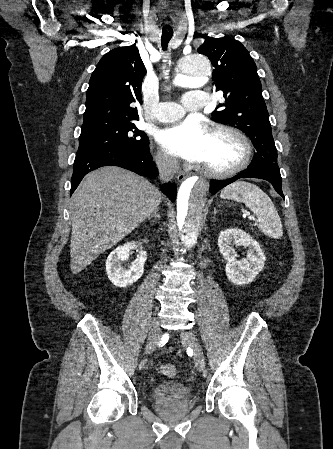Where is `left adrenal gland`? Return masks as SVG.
I'll return each instance as SVG.
<instances>
[{
  "label": "left adrenal gland",
  "instance_id": "left-adrenal-gland-1",
  "mask_svg": "<svg viewBox=\"0 0 333 449\" xmlns=\"http://www.w3.org/2000/svg\"><path fill=\"white\" fill-rule=\"evenodd\" d=\"M219 212V210H217L216 208H214V212H213V218H216V214Z\"/></svg>",
  "mask_w": 333,
  "mask_h": 449
}]
</instances>
